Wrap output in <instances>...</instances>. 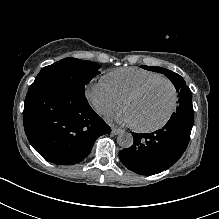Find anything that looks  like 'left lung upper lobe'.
Returning <instances> with one entry per match:
<instances>
[{
    "label": "left lung upper lobe",
    "mask_w": 219,
    "mask_h": 219,
    "mask_svg": "<svg viewBox=\"0 0 219 219\" xmlns=\"http://www.w3.org/2000/svg\"><path fill=\"white\" fill-rule=\"evenodd\" d=\"M143 69L165 74L174 84L179 93V106L172 116L176 115H194L192 106V94L186 85L185 80L177 73L161 67L141 66Z\"/></svg>",
    "instance_id": "1"
}]
</instances>
